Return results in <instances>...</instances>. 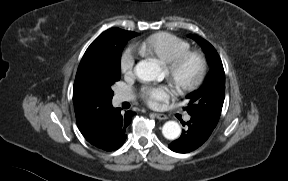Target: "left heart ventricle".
I'll use <instances>...</instances> for the list:
<instances>
[{
    "label": "left heart ventricle",
    "mask_w": 288,
    "mask_h": 181,
    "mask_svg": "<svg viewBox=\"0 0 288 181\" xmlns=\"http://www.w3.org/2000/svg\"><path fill=\"white\" fill-rule=\"evenodd\" d=\"M198 69V64L194 59H190L184 63V65L179 69L177 73V80L180 82H187L191 80ZM165 74L167 75V71L165 69Z\"/></svg>",
    "instance_id": "b2bd125f"
}]
</instances>
